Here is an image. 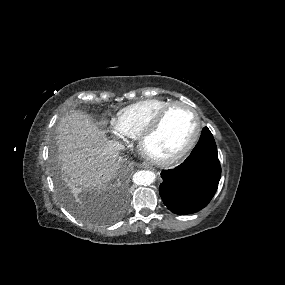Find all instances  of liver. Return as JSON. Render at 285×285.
I'll list each match as a JSON object with an SVG mask.
<instances>
[{
    "instance_id": "1",
    "label": "liver",
    "mask_w": 285,
    "mask_h": 285,
    "mask_svg": "<svg viewBox=\"0 0 285 285\" xmlns=\"http://www.w3.org/2000/svg\"><path fill=\"white\" fill-rule=\"evenodd\" d=\"M56 139L61 169L73 187H103L116 175L118 166L109 156L108 141L83 112L62 117Z\"/></svg>"
}]
</instances>
